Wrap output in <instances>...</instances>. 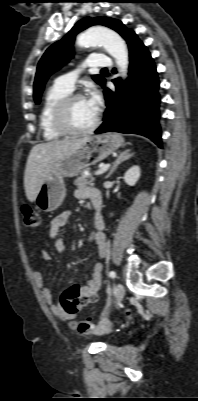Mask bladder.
Segmentation results:
<instances>
[{
  "label": "bladder",
  "mask_w": 198,
  "mask_h": 401,
  "mask_svg": "<svg viewBox=\"0 0 198 401\" xmlns=\"http://www.w3.org/2000/svg\"><path fill=\"white\" fill-rule=\"evenodd\" d=\"M99 332H103V333H110L111 329L110 328H105L103 330H99Z\"/></svg>",
  "instance_id": "obj_1"
}]
</instances>
